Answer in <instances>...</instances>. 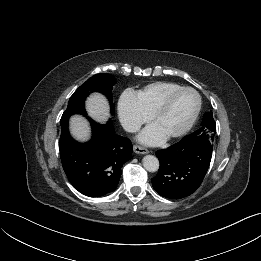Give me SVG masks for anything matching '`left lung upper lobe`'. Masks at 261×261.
I'll use <instances>...</instances> for the list:
<instances>
[{
    "label": "left lung upper lobe",
    "instance_id": "1",
    "mask_svg": "<svg viewBox=\"0 0 261 261\" xmlns=\"http://www.w3.org/2000/svg\"><path fill=\"white\" fill-rule=\"evenodd\" d=\"M215 132H216V124L213 119V114L210 111L204 114L202 127L196 132L187 136H202L207 138L212 143L214 140Z\"/></svg>",
    "mask_w": 261,
    "mask_h": 261
}]
</instances>
